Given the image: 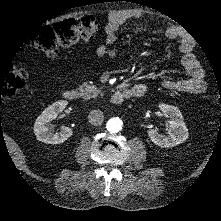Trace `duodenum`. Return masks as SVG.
<instances>
[{
    "mask_svg": "<svg viewBox=\"0 0 221 221\" xmlns=\"http://www.w3.org/2000/svg\"><path fill=\"white\" fill-rule=\"evenodd\" d=\"M146 87L142 84L136 85L131 89L115 90L111 95V102L115 105L123 103L125 100L132 97H141L145 94ZM63 96L66 100L75 101L81 96L80 91L77 89H68L64 91Z\"/></svg>",
    "mask_w": 221,
    "mask_h": 221,
    "instance_id": "1",
    "label": "duodenum"
}]
</instances>
